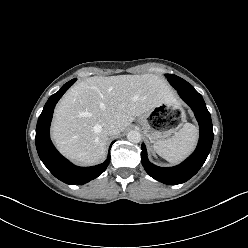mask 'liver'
Returning <instances> with one entry per match:
<instances>
[{"instance_id":"6515ba94","label":"liver","mask_w":248,"mask_h":248,"mask_svg":"<svg viewBox=\"0 0 248 248\" xmlns=\"http://www.w3.org/2000/svg\"><path fill=\"white\" fill-rule=\"evenodd\" d=\"M175 102L168 83L154 74L90 77L71 87L56 106L52 138L67 158L93 165L105 158L109 121L122 132L136 116Z\"/></svg>"}]
</instances>
